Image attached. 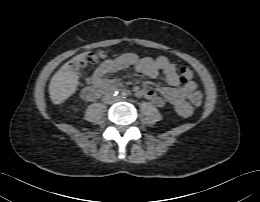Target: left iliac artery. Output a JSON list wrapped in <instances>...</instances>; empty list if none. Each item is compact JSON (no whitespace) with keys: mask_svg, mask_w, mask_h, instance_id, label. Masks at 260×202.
Instances as JSON below:
<instances>
[{"mask_svg":"<svg viewBox=\"0 0 260 202\" xmlns=\"http://www.w3.org/2000/svg\"><path fill=\"white\" fill-rule=\"evenodd\" d=\"M127 96H128V93H127L126 91H123V92H122V97H123V98H126Z\"/></svg>","mask_w":260,"mask_h":202,"instance_id":"1","label":"left iliac artery"}]
</instances>
